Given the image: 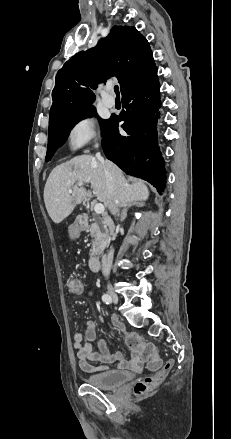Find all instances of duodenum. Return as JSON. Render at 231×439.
<instances>
[{
  "label": "duodenum",
  "instance_id": "obj_1",
  "mask_svg": "<svg viewBox=\"0 0 231 439\" xmlns=\"http://www.w3.org/2000/svg\"><path fill=\"white\" fill-rule=\"evenodd\" d=\"M78 223L82 227H86L89 224V218L86 215H81L78 218ZM100 257L98 254L91 255L89 258V267L92 271L97 272L100 270Z\"/></svg>",
  "mask_w": 231,
  "mask_h": 439
}]
</instances>
